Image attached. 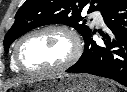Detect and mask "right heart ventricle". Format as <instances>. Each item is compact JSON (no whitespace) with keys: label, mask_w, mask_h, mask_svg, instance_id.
<instances>
[{"label":"right heart ventricle","mask_w":127,"mask_h":92,"mask_svg":"<svg viewBox=\"0 0 127 92\" xmlns=\"http://www.w3.org/2000/svg\"><path fill=\"white\" fill-rule=\"evenodd\" d=\"M10 67L12 69L13 72H20V70L18 69V67L16 66V64L14 63V60H13V55L11 57V63H10Z\"/></svg>","instance_id":"e07e8e85"}]
</instances>
